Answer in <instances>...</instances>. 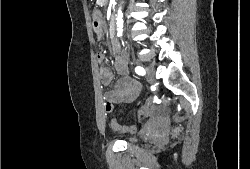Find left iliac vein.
Segmentation results:
<instances>
[{"mask_svg":"<svg viewBox=\"0 0 250 169\" xmlns=\"http://www.w3.org/2000/svg\"><path fill=\"white\" fill-rule=\"evenodd\" d=\"M155 74H156V71L153 66L146 67V79L149 83H157Z\"/></svg>","mask_w":250,"mask_h":169,"instance_id":"obj_1","label":"left iliac vein"}]
</instances>
